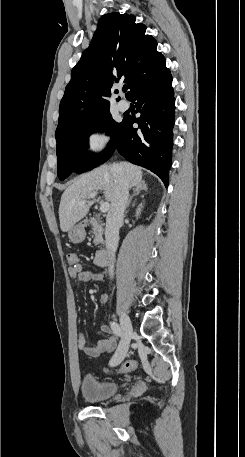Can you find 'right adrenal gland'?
<instances>
[{
    "label": "right adrenal gland",
    "mask_w": 245,
    "mask_h": 457,
    "mask_svg": "<svg viewBox=\"0 0 245 457\" xmlns=\"http://www.w3.org/2000/svg\"><path fill=\"white\" fill-rule=\"evenodd\" d=\"M141 190H147V184H145V180H142V182H140V184H138V186H135L134 194H132V196H130V198L127 202V206H130L133 196H135V194H139V192H141ZM132 206H134V204H132Z\"/></svg>",
    "instance_id": "1"
}]
</instances>
